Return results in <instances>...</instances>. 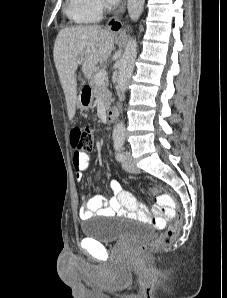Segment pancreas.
Returning <instances> with one entry per match:
<instances>
[{"mask_svg": "<svg viewBox=\"0 0 227 298\" xmlns=\"http://www.w3.org/2000/svg\"><path fill=\"white\" fill-rule=\"evenodd\" d=\"M97 73H94L91 77L90 86L92 89L93 97L102 100L104 106L108 109L112 102V95L108 90V83L104 82L102 84H97L95 82V76Z\"/></svg>", "mask_w": 227, "mask_h": 298, "instance_id": "pancreas-1", "label": "pancreas"}]
</instances>
